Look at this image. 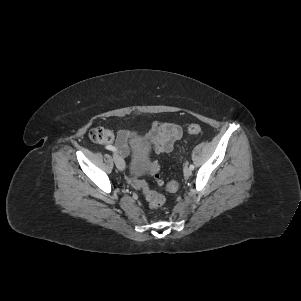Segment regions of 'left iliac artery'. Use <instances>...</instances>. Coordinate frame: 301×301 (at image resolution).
Segmentation results:
<instances>
[{"instance_id":"1","label":"left iliac artery","mask_w":301,"mask_h":301,"mask_svg":"<svg viewBox=\"0 0 301 301\" xmlns=\"http://www.w3.org/2000/svg\"><path fill=\"white\" fill-rule=\"evenodd\" d=\"M189 168H190L191 170H194V165L191 164V165L189 166Z\"/></svg>"}]
</instances>
